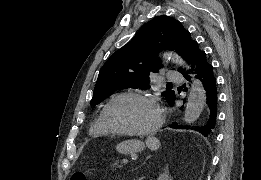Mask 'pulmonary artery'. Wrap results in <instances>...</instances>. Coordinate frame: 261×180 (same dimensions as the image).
<instances>
[{
  "label": "pulmonary artery",
  "mask_w": 261,
  "mask_h": 180,
  "mask_svg": "<svg viewBox=\"0 0 261 180\" xmlns=\"http://www.w3.org/2000/svg\"><path fill=\"white\" fill-rule=\"evenodd\" d=\"M165 77H183V72H165ZM171 83H186V78H171Z\"/></svg>",
  "instance_id": "1"
}]
</instances>
